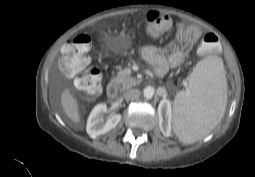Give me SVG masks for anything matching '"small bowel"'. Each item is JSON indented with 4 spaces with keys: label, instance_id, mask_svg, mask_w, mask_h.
<instances>
[{
    "label": "small bowel",
    "instance_id": "c3829d8e",
    "mask_svg": "<svg viewBox=\"0 0 255 177\" xmlns=\"http://www.w3.org/2000/svg\"><path fill=\"white\" fill-rule=\"evenodd\" d=\"M201 38V31L197 27L179 26L174 34L173 39L167 44L166 49L170 50L169 57H165L162 49L156 46H145L141 54L145 60L156 66L160 75L166 73L169 67H179L185 58L183 50L178 48L180 43L194 44Z\"/></svg>",
    "mask_w": 255,
    "mask_h": 177
}]
</instances>
